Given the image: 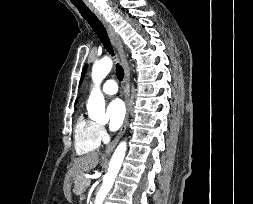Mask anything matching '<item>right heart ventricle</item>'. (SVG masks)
Instances as JSON below:
<instances>
[{
    "instance_id": "e07e8e85",
    "label": "right heart ventricle",
    "mask_w": 253,
    "mask_h": 204,
    "mask_svg": "<svg viewBox=\"0 0 253 204\" xmlns=\"http://www.w3.org/2000/svg\"><path fill=\"white\" fill-rule=\"evenodd\" d=\"M96 125L83 115L78 117L74 126V145L78 155H84L98 149L100 140L96 134Z\"/></svg>"
}]
</instances>
